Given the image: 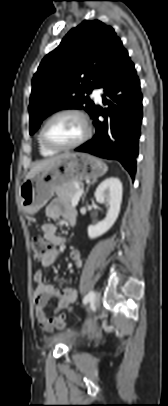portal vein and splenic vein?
I'll list each match as a JSON object with an SVG mask.
<instances>
[{"label": "portal vein and splenic vein", "instance_id": "portal-vein-and-splenic-vein-1", "mask_svg": "<svg viewBox=\"0 0 168 406\" xmlns=\"http://www.w3.org/2000/svg\"><path fill=\"white\" fill-rule=\"evenodd\" d=\"M82 193H83V189H79V190L76 192V194H75V196H74V198L72 199V202H71V204H72L73 207H75V206L78 204L79 199H80Z\"/></svg>", "mask_w": 168, "mask_h": 406}]
</instances>
